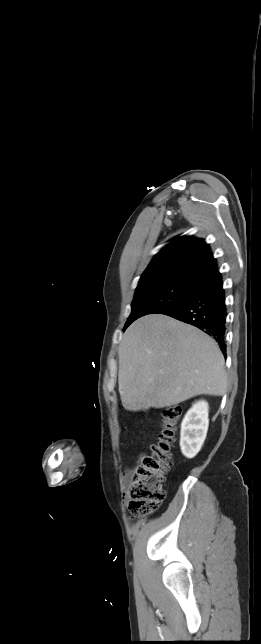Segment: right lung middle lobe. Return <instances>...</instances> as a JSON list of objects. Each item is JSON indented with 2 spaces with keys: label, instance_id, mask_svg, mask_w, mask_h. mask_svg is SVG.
I'll return each mask as SVG.
<instances>
[{
  "label": "right lung middle lobe",
  "instance_id": "1",
  "mask_svg": "<svg viewBox=\"0 0 261 644\" xmlns=\"http://www.w3.org/2000/svg\"><path fill=\"white\" fill-rule=\"evenodd\" d=\"M196 284L197 282L183 278H169L139 285L124 330L141 316L162 313L183 302Z\"/></svg>",
  "mask_w": 261,
  "mask_h": 644
}]
</instances>
